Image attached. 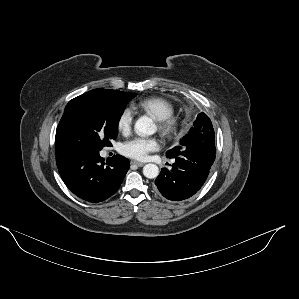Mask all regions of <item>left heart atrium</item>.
<instances>
[{
    "instance_id": "1",
    "label": "left heart atrium",
    "mask_w": 299,
    "mask_h": 299,
    "mask_svg": "<svg viewBox=\"0 0 299 299\" xmlns=\"http://www.w3.org/2000/svg\"><path fill=\"white\" fill-rule=\"evenodd\" d=\"M159 147V141L155 138L136 137L124 142L120 147V152L129 158L143 160Z\"/></svg>"
}]
</instances>
